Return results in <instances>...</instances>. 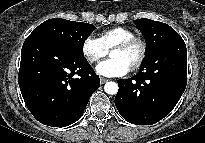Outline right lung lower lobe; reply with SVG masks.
I'll return each instance as SVG.
<instances>
[{
    "instance_id": "obj_1",
    "label": "right lung lower lobe",
    "mask_w": 205,
    "mask_h": 143,
    "mask_svg": "<svg viewBox=\"0 0 205 143\" xmlns=\"http://www.w3.org/2000/svg\"><path fill=\"white\" fill-rule=\"evenodd\" d=\"M18 83L26 106L40 123L65 127L82 116L100 79L83 55L30 34L21 49Z\"/></svg>"
}]
</instances>
